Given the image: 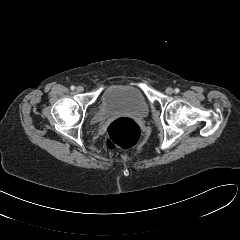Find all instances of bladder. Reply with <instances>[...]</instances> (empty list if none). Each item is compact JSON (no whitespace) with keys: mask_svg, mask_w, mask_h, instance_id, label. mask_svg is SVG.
I'll use <instances>...</instances> for the list:
<instances>
[{"mask_svg":"<svg viewBox=\"0 0 240 240\" xmlns=\"http://www.w3.org/2000/svg\"><path fill=\"white\" fill-rule=\"evenodd\" d=\"M149 114V105L142 92L132 85L107 88L101 95L97 118L104 120L118 115H129L139 119Z\"/></svg>","mask_w":240,"mask_h":240,"instance_id":"bladder-1","label":"bladder"}]
</instances>
